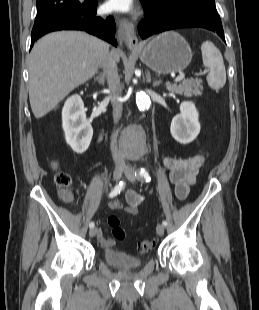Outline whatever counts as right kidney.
Here are the masks:
<instances>
[{
  "label": "right kidney",
  "instance_id": "obj_1",
  "mask_svg": "<svg viewBox=\"0 0 259 310\" xmlns=\"http://www.w3.org/2000/svg\"><path fill=\"white\" fill-rule=\"evenodd\" d=\"M62 126L67 144L74 152L84 153L90 145L93 129L86 118V109L79 95L66 100L62 109Z\"/></svg>",
  "mask_w": 259,
  "mask_h": 310
}]
</instances>
